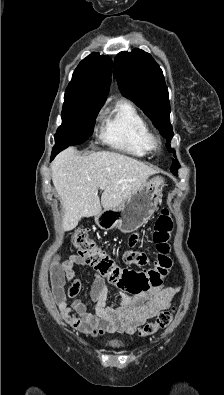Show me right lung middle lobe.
Masks as SVG:
<instances>
[{"mask_svg":"<svg viewBox=\"0 0 224 395\" xmlns=\"http://www.w3.org/2000/svg\"><path fill=\"white\" fill-rule=\"evenodd\" d=\"M103 104L89 96L65 92L62 125L55 134V145L68 147L85 142L93 133L96 116Z\"/></svg>","mask_w":224,"mask_h":395,"instance_id":"1","label":"right lung middle lobe"}]
</instances>
